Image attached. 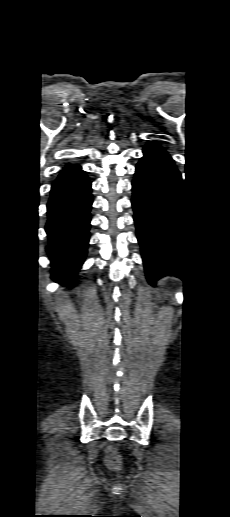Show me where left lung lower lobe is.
<instances>
[{
	"label": "left lung lower lobe",
	"mask_w": 230,
	"mask_h": 517,
	"mask_svg": "<svg viewBox=\"0 0 230 517\" xmlns=\"http://www.w3.org/2000/svg\"><path fill=\"white\" fill-rule=\"evenodd\" d=\"M132 182V206L147 279L182 278L180 262L182 216L181 174L160 146L147 144ZM183 273V276H182Z\"/></svg>",
	"instance_id": "0a47b994"
}]
</instances>
